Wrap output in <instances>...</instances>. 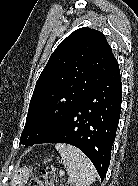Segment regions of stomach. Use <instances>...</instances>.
<instances>
[{"mask_svg": "<svg viewBox=\"0 0 138 186\" xmlns=\"http://www.w3.org/2000/svg\"><path fill=\"white\" fill-rule=\"evenodd\" d=\"M30 173L31 171L26 167L16 170L11 180V186H24Z\"/></svg>", "mask_w": 138, "mask_h": 186, "instance_id": "stomach-1", "label": "stomach"}]
</instances>
